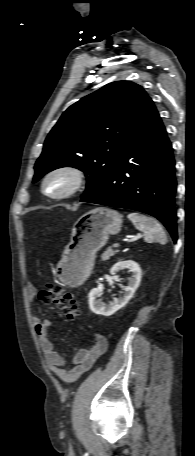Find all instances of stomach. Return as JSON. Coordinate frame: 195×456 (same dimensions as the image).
<instances>
[{
    "instance_id": "obj_1",
    "label": "stomach",
    "mask_w": 195,
    "mask_h": 456,
    "mask_svg": "<svg viewBox=\"0 0 195 456\" xmlns=\"http://www.w3.org/2000/svg\"><path fill=\"white\" fill-rule=\"evenodd\" d=\"M122 215L99 207L83 214L73 225L71 239L65 247L57 272L70 286L82 284L90 275L96 253L106 244L109 235L120 232Z\"/></svg>"
}]
</instances>
